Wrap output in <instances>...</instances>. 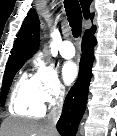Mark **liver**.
<instances>
[{"label": "liver", "instance_id": "obj_1", "mask_svg": "<svg viewBox=\"0 0 117 136\" xmlns=\"http://www.w3.org/2000/svg\"><path fill=\"white\" fill-rule=\"evenodd\" d=\"M3 136H58L56 131H50L46 123L20 119L7 118L1 125Z\"/></svg>", "mask_w": 117, "mask_h": 136}]
</instances>
